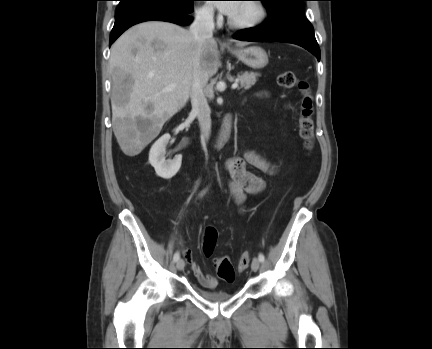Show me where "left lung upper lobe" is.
Here are the masks:
<instances>
[{"label": "left lung upper lobe", "mask_w": 432, "mask_h": 349, "mask_svg": "<svg viewBox=\"0 0 432 349\" xmlns=\"http://www.w3.org/2000/svg\"><path fill=\"white\" fill-rule=\"evenodd\" d=\"M262 1L271 18L276 16L303 17L304 1L306 0H260Z\"/></svg>", "instance_id": "obj_1"}]
</instances>
